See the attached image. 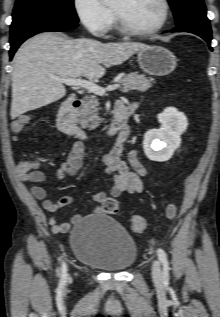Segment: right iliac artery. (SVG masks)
Instances as JSON below:
<instances>
[{"instance_id":"82829eb1","label":"right iliac artery","mask_w":220,"mask_h":317,"mask_svg":"<svg viewBox=\"0 0 220 317\" xmlns=\"http://www.w3.org/2000/svg\"><path fill=\"white\" fill-rule=\"evenodd\" d=\"M66 271H67L66 265H65V263H63L62 268H61V282H65Z\"/></svg>"}]
</instances>
